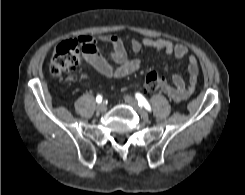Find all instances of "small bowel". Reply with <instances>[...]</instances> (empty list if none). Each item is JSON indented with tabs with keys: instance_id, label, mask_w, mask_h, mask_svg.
<instances>
[{
	"instance_id": "obj_1",
	"label": "small bowel",
	"mask_w": 245,
	"mask_h": 195,
	"mask_svg": "<svg viewBox=\"0 0 245 195\" xmlns=\"http://www.w3.org/2000/svg\"><path fill=\"white\" fill-rule=\"evenodd\" d=\"M103 42L111 45L110 58L112 63L108 62L97 49V39L91 35H83L78 38L80 45L84 48L83 58L96 71L108 78H122L131 75L140 67L141 61L129 56L122 40L112 35H102L99 38ZM144 47L152 48L158 52H164L166 55L173 56L180 60L187 57L189 79L186 84L179 74L172 76L173 85L166 81L162 86V91L175 102H182L190 97L194 92L199 74V65L197 58L188 55L189 50L183 44H173L167 39L133 40L130 44V50L134 53L140 52Z\"/></svg>"
}]
</instances>
